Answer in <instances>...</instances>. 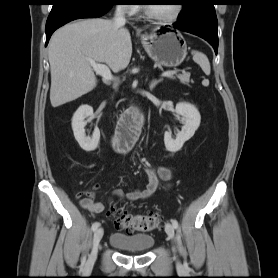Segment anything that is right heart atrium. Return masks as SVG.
I'll use <instances>...</instances> for the list:
<instances>
[{"label": "right heart atrium", "instance_id": "obj_1", "mask_svg": "<svg viewBox=\"0 0 278 278\" xmlns=\"http://www.w3.org/2000/svg\"><path fill=\"white\" fill-rule=\"evenodd\" d=\"M121 8L130 15L136 14L139 10V6L134 4H124Z\"/></svg>", "mask_w": 278, "mask_h": 278}]
</instances>
